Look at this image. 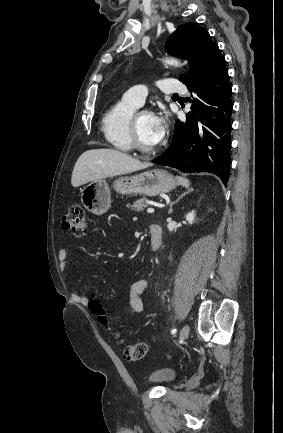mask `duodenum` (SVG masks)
Returning <instances> with one entry per match:
<instances>
[{"instance_id":"410a0bca","label":"duodenum","mask_w":283,"mask_h":433,"mask_svg":"<svg viewBox=\"0 0 283 433\" xmlns=\"http://www.w3.org/2000/svg\"><path fill=\"white\" fill-rule=\"evenodd\" d=\"M151 246L154 252L159 251L162 245V228L158 224H153L149 228Z\"/></svg>"}]
</instances>
